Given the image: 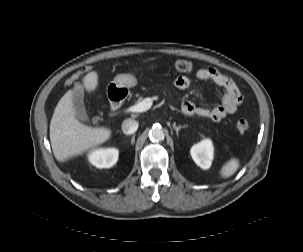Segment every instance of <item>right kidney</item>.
<instances>
[{"mask_svg": "<svg viewBox=\"0 0 303 252\" xmlns=\"http://www.w3.org/2000/svg\"><path fill=\"white\" fill-rule=\"evenodd\" d=\"M119 151L116 148L98 149L88 155V161L97 168H110L116 164Z\"/></svg>", "mask_w": 303, "mask_h": 252, "instance_id": "right-kidney-1", "label": "right kidney"}]
</instances>
